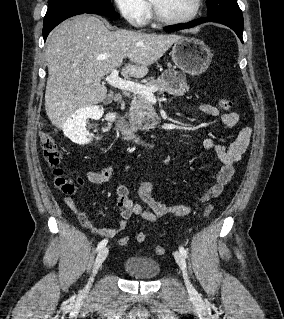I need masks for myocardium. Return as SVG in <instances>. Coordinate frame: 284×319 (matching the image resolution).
<instances>
[{
    "label": "myocardium",
    "mask_w": 284,
    "mask_h": 319,
    "mask_svg": "<svg viewBox=\"0 0 284 319\" xmlns=\"http://www.w3.org/2000/svg\"><path fill=\"white\" fill-rule=\"evenodd\" d=\"M202 7H203V0H196L194 10L192 11L190 15L186 17H182V18H172L162 14L150 0V9H151V15L153 19L156 20L157 22L168 24V25L185 24V23H189L193 21L201 13Z\"/></svg>",
    "instance_id": "1"
}]
</instances>
